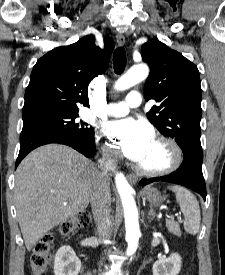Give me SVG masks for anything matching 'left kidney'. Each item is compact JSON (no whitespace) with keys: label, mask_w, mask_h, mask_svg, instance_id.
Returning <instances> with one entry per match:
<instances>
[{"label":"left kidney","mask_w":225,"mask_h":275,"mask_svg":"<svg viewBox=\"0 0 225 275\" xmlns=\"http://www.w3.org/2000/svg\"><path fill=\"white\" fill-rule=\"evenodd\" d=\"M181 269V257L177 253L161 258L153 265V275H178Z\"/></svg>","instance_id":"5707ae66"}]
</instances>
